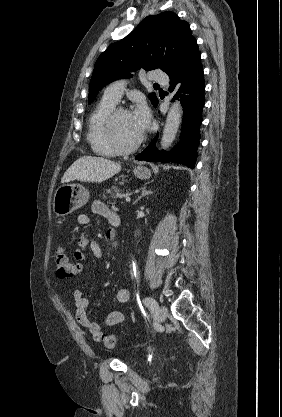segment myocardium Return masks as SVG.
Listing matches in <instances>:
<instances>
[{
  "label": "myocardium",
  "instance_id": "f54148a6",
  "mask_svg": "<svg viewBox=\"0 0 282 417\" xmlns=\"http://www.w3.org/2000/svg\"><path fill=\"white\" fill-rule=\"evenodd\" d=\"M121 114H131V112L121 106H116L113 108L104 118L108 133L106 135V140L108 144L116 151V152H125L130 151L138 148L143 141L145 140V133L142 132L141 136L131 144H123L121 143L116 135H115V123L116 119Z\"/></svg>",
  "mask_w": 282,
  "mask_h": 417
}]
</instances>
